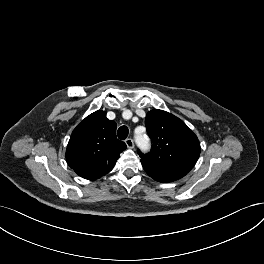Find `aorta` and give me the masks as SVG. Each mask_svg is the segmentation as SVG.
I'll return each mask as SVG.
<instances>
[{"instance_id": "762f6f07", "label": "aorta", "mask_w": 264, "mask_h": 264, "mask_svg": "<svg viewBox=\"0 0 264 264\" xmlns=\"http://www.w3.org/2000/svg\"><path fill=\"white\" fill-rule=\"evenodd\" d=\"M135 141L136 144L138 145V147L142 150V151H146L149 148V140L146 136L144 135H136L135 136Z\"/></svg>"}]
</instances>
